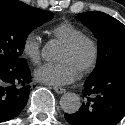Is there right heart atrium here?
<instances>
[{
  "instance_id": "obj_1",
  "label": "right heart atrium",
  "mask_w": 125,
  "mask_h": 125,
  "mask_svg": "<svg viewBox=\"0 0 125 125\" xmlns=\"http://www.w3.org/2000/svg\"><path fill=\"white\" fill-rule=\"evenodd\" d=\"M42 38L35 32L28 33L22 43L23 55L33 64L41 59Z\"/></svg>"
}]
</instances>
